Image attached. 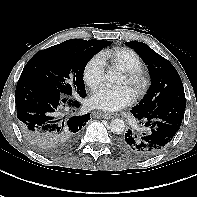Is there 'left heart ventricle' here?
Listing matches in <instances>:
<instances>
[{"instance_id": "b2bd125f", "label": "left heart ventricle", "mask_w": 197, "mask_h": 197, "mask_svg": "<svg viewBox=\"0 0 197 197\" xmlns=\"http://www.w3.org/2000/svg\"><path fill=\"white\" fill-rule=\"evenodd\" d=\"M123 85H127V80H126L125 77H124V80H123Z\"/></svg>"}]
</instances>
